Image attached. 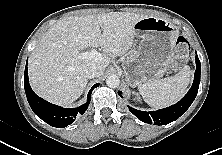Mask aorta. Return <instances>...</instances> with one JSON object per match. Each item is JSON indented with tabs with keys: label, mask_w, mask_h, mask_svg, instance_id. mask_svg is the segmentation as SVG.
Segmentation results:
<instances>
[{
	"label": "aorta",
	"mask_w": 222,
	"mask_h": 155,
	"mask_svg": "<svg viewBox=\"0 0 222 155\" xmlns=\"http://www.w3.org/2000/svg\"><path fill=\"white\" fill-rule=\"evenodd\" d=\"M106 84L110 88H117L120 85V79L117 75H110L106 79Z\"/></svg>",
	"instance_id": "aorta-1"
}]
</instances>
